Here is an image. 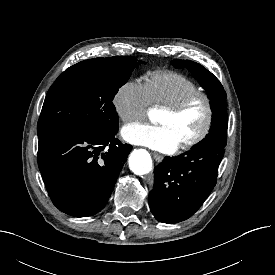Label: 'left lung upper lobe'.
Masks as SVG:
<instances>
[{
	"label": "left lung upper lobe",
	"instance_id": "obj_1",
	"mask_svg": "<svg viewBox=\"0 0 275 275\" xmlns=\"http://www.w3.org/2000/svg\"><path fill=\"white\" fill-rule=\"evenodd\" d=\"M172 65L175 68H187L197 79L200 85L208 91L210 105L213 110L211 129L198 145L203 144H218L226 146L228 114L226 103V92L219 80L202 65L190 60H172Z\"/></svg>",
	"mask_w": 275,
	"mask_h": 275
}]
</instances>
